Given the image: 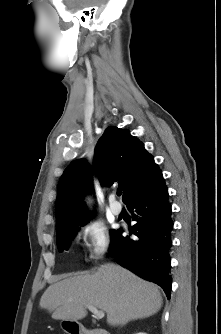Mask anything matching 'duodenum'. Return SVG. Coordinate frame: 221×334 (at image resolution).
Wrapping results in <instances>:
<instances>
[{
  "mask_svg": "<svg viewBox=\"0 0 221 334\" xmlns=\"http://www.w3.org/2000/svg\"><path fill=\"white\" fill-rule=\"evenodd\" d=\"M72 334H110L107 330L102 328H86L76 327L69 330Z\"/></svg>",
  "mask_w": 221,
  "mask_h": 334,
  "instance_id": "410a0bca",
  "label": "duodenum"
}]
</instances>
